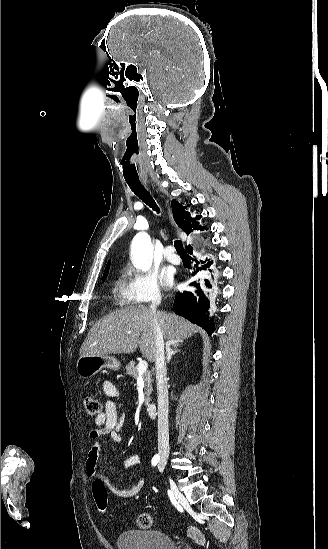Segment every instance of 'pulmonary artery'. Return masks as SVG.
I'll return each instance as SVG.
<instances>
[{"instance_id": "1", "label": "pulmonary artery", "mask_w": 328, "mask_h": 549, "mask_svg": "<svg viewBox=\"0 0 328 549\" xmlns=\"http://www.w3.org/2000/svg\"><path fill=\"white\" fill-rule=\"evenodd\" d=\"M164 257L169 261L170 263H179L178 256L173 252L172 248L168 247L164 251Z\"/></svg>"}]
</instances>
